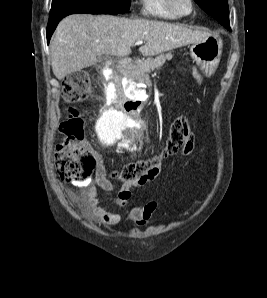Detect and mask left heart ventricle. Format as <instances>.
Returning a JSON list of instances; mask_svg holds the SVG:
<instances>
[{
	"label": "left heart ventricle",
	"mask_w": 267,
	"mask_h": 298,
	"mask_svg": "<svg viewBox=\"0 0 267 298\" xmlns=\"http://www.w3.org/2000/svg\"><path fill=\"white\" fill-rule=\"evenodd\" d=\"M176 8L182 12L187 13L190 10L189 0H174Z\"/></svg>",
	"instance_id": "left-heart-ventricle-1"
}]
</instances>
